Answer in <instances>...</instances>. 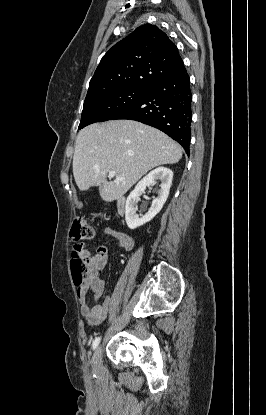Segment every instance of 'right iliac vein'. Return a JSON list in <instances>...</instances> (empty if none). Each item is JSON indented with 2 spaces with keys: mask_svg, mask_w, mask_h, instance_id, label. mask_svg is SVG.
<instances>
[{
  "mask_svg": "<svg viewBox=\"0 0 266 415\" xmlns=\"http://www.w3.org/2000/svg\"><path fill=\"white\" fill-rule=\"evenodd\" d=\"M102 365V348L98 347L92 358V366L95 371H99Z\"/></svg>",
  "mask_w": 266,
  "mask_h": 415,
  "instance_id": "63e3f726",
  "label": "right iliac vein"
}]
</instances>
